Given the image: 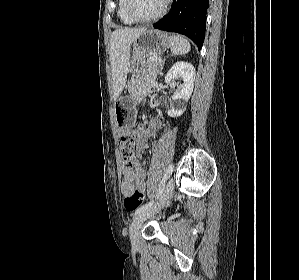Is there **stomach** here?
<instances>
[{
	"mask_svg": "<svg viewBox=\"0 0 299 280\" xmlns=\"http://www.w3.org/2000/svg\"><path fill=\"white\" fill-rule=\"evenodd\" d=\"M169 47V38L161 31L146 30L132 42L133 55L128 73L132 80L142 76L144 64L149 53H162ZM130 96L121 97L115 105V117L120 128L131 127L135 119L134 102L138 94L135 89Z\"/></svg>",
	"mask_w": 299,
	"mask_h": 280,
	"instance_id": "1",
	"label": "stomach"
}]
</instances>
